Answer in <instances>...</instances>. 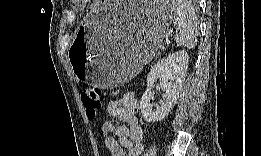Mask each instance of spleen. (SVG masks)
<instances>
[{"instance_id": "1", "label": "spleen", "mask_w": 261, "mask_h": 156, "mask_svg": "<svg viewBox=\"0 0 261 156\" xmlns=\"http://www.w3.org/2000/svg\"><path fill=\"white\" fill-rule=\"evenodd\" d=\"M173 25L176 29L174 39L180 46L192 49L197 44V16L189 1H177L173 5Z\"/></svg>"}]
</instances>
